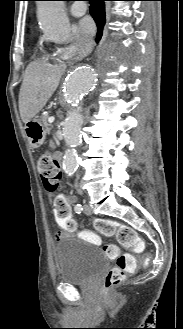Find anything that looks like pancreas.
<instances>
[{
    "mask_svg": "<svg viewBox=\"0 0 183 329\" xmlns=\"http://www.w3.org/2000/svg\"><path fill=\"white\" fill-rule=\"evenodd\" d=\"M48 118H49L48 115H44L43 118H42V123H43V125H44L47 132L50 131L49 124L47 123Z\"/></svg>",
    "mask_w": 183,
    "mask_h": 329,
    "instance_id": "cf45deb5",
    "label": "pancreas"
}]
</instances>
